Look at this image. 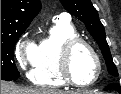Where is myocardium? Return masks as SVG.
I'll return each instance as SVG.
<instances>
[{"instance_id":"myocardium-1","label":"myocardium","mask_w":121,"mask_h":94,"mask_svg":"<svg viewBox=\"0 0 121 94\" xmlns=\"http://www.w3.org/2000/svg\"><path fill=\"white\" fill-rule=\"evenodd\" d=\"M77 45H84L93 55L96 64H97V73L95 78L88 82V83H80L77 82L71 72L70 68V62H71V55L74 50V48ZM102 61L101 58L96 51V49L92 46L90 42L85 40L82 37L79 36H74L71 38L66 39L60 46L59 50V61H58V69H59V74L61 78L69 85L75 86V87H89L96 83L98 79L101 76L102 73Z\"/></svg>"}]
</instances>
